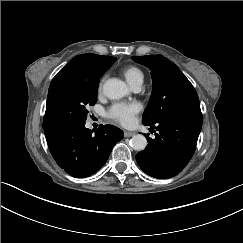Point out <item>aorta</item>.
I'll return each mask as SVG.
<instances>
[{"mask_svg": "<svg viewBox=\"0 0 243 243\" xmlns=\"http://www.w3.org/2000/svg\"><path fill=\"white\" fill-rule=\"evenodd\" d=\"M129 92L126 83L119 79H108L103 85L104 95L112 100L120 99L129 94ZM130 146L136 151H142L147 146V140L141 134L134 135L130 140Z\"/></svg>", "mask_w": 243, "mask_h": 243, "instance_id": "aorta-1", "label": "aorta"}]
</instances>
